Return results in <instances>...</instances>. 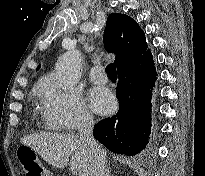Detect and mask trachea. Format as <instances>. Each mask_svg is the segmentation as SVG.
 I'll return each instance as SVG.
<instances>
[{
  "instance_id": "trachea-1",
  "label": "trachea",
  "mask_w": 205,
  "mask_h": 176,
  "mask_svg": "<svg viewBox=\"0 0 205 176\" xmlns=\"http://www.w3.org/2000/svg\"><path fill=\"white\" fill-rule=\"evenodd\" d=\"M106 71H107V74L110 77H116L117 76L116 66L113 63H110L109 65H107Z\"/></svg>"
}]
</instances>
